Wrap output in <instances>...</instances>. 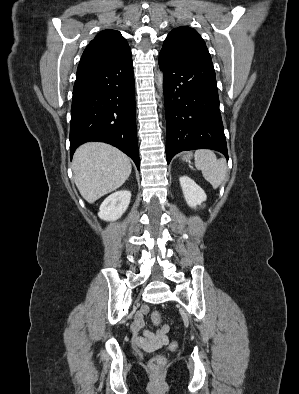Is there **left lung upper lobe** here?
Listing matches in <instances>:
<instances>
[{
    "instance_id": "1",
    "label": "left lung upper lobe",
    "mask_w": 299,
    "mask_h": 394,
    "mask_svg": "<svg viewBox=\"0 0 299 394\" xmlns=\"http://www.w3.org/2000/svg\"><path fill=\"white\" fill-rule=\"evenodd\" d=\"M161 52L177 59L211 60L204 40L195 29L187 26L173 29L165 39Z\"/></svg>"
}]
</instances>
